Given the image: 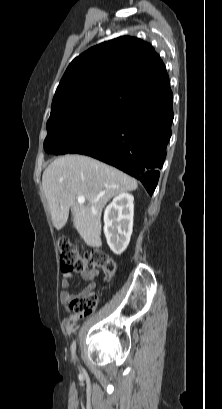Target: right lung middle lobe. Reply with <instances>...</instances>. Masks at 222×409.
Instances as JSON below:
<instances>
[{
  "label": "right lung middle lobe",
  "instance_id": "1",
  "mask_svg": "<svg viewBox=\"0 0 222 409\" xmlns=\"http://www.w3.org/2000/svg\"><path fill=\"white\" fill-rule=\"evenodd\" d=\"M118 103L102 102L62 108L50 114L44 149L47 153L87 155L108 134Z\"/></svg>",
  "mask_w": 222,
  "mask_h": 409
}]
</instances>
